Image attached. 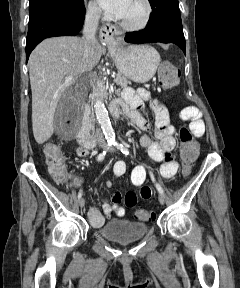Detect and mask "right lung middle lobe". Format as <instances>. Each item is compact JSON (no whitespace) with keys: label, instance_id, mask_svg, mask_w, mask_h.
Wrapping results in <instances>:
<instances>
[{"label":"right lung middle lobe","instance_id":"dd1d6c3e","mask_svg":"<svg viewBox=\"0 0 240 288\" xmlns=\"http://www.w3.org/2000/svg\"><path fill=\"white\" fill-rule=\"evenodd\" d=\"M84 0H30L29 21L54 8L77 9Z\"/></svg>","mask_w":240,"mask_h":288}]
</instances>
